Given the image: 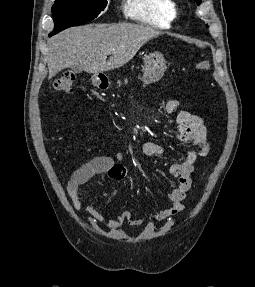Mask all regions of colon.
Returning <instances> with one entry per match:
<instances>
[{"mask_svg":"<svg viewBox=\"0 0 255 287\" xmlns=\"http://www.w3.org/2000/svg\"><path fill=\"white\" fill-rule=\"evenodd\" d=\"M210 65L207 60H200L196 63L195 68L197 71H207ZM75 75L71 71L64 72L54 83L57 91L65 94H72L74 92Z\"/></svg>","mask_w":255,"mask_h":287,"instance_id":"obj_1","label":"colon"}]
</instances>
